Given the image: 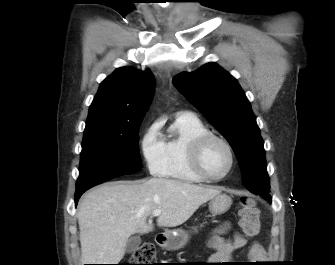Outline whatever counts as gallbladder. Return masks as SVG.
<instances>
[{
	"label": "gallbladder",
	"instance_id": "1",
	"mask_svg": "<svg viewBox=\"0 0 335 265\" xmlns=\"http://www.w3.org/2000/svg\"><path fill=\"white\" fill-rule=\"evenodd\" d=\"M140 244H141V238L139 236L130 237L125 247L126 253L130 254L132 252H135Z\"/></svg>",
	"mask_w": 335,
	"mask_h": 265
}]
</instances>
